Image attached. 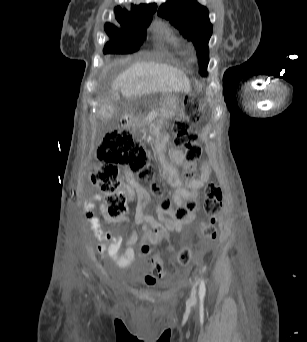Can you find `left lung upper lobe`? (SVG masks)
Returning a JSON list of instances; mask_svg holds the SVG:
<instances>
[{"label":"left lung upper lobe","instance_id":"1","mask_svg":"<svg viewBox=\"0 0 307 342\" xmlns=\"http://www.w3.org/2000/svg\"><path fill=\"white\" fill-rule=\"evenodd\" d=\"M158 14L170 20L185 36L191 38L197 50L200 72L206 75L209 62L208 42L212 35L207 8L196 0H168L160 6Z\"/></svg>","mask_w":307,"mask_h":342}]
</instances>
